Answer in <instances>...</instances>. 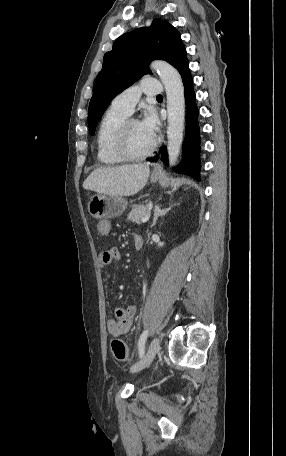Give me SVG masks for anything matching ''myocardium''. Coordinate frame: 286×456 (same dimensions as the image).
I'll return each mask as SVG.
<instances>
[{"instance_id":"f54148a6","label":"myocardium","mask_w":286,"mask_h":456,"mask_svg":"<svg viewBox=\"0 0 286 456\" xmlns=\"http://www.w3.org/2000/svg\"><path fill=\"white\" fill-rule=\"evenodd\" d=\"M138 122L135 118H126L119 126L115 137V151L123 161H141L155 151L157 141L154 140L151 147L143 154L133 155L128 151V129L131 123Z\"/></svg>"}]
</instances>
